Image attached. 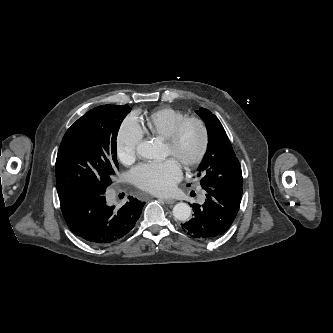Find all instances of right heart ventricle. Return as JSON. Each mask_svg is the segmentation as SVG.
Here are the masks:
<instances>
[{"label": "right heart ventricle", "mask_w": 333, "mask_h": 333, "mask_svg": "<svg viewBox=\"0 0 333 333\" xmlns=\"http://www.w3.org/2000/svg\"><path fill=\"white\" fill-rule=\"evenodd\" d=\"M187 117L186 113L172 109L162 108L151 112L143 120L141 129L150 135L160 136L167 139L174 127Z\"/></svg>", "instance_id": "right-heart-ventricle-1"}]
</instances>
